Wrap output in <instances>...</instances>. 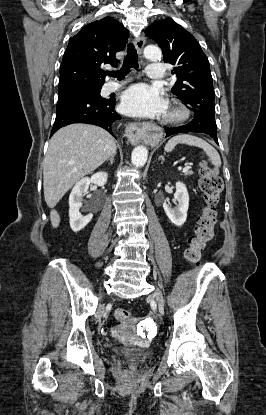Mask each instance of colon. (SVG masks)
<instances>
[{"label": "colon", "mask_w": 266, "mask_h": 415, "mask_svg": "<svg viewBox=\"0 0 266 415\" xmlns=\"http://www.w3.org/2000/svg\"><path fill=\"white\" fill-rule=\"evenodd\" d=\"M199 186L203 194L204 207L197 219L195 232L189 238L188 247L185 250L186 259L195 265L200 263L205 246L215 235L217 205L223 190L222 180L206 161L201 163ZM115 317L124 322L132 318L131 313L124 308L116 309Z\"/></svg>", "instance_id": "1"}]
</instances>
